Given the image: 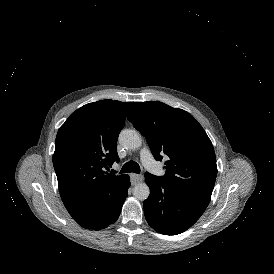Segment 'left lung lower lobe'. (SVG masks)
Instances as JSON below:
<instances>
[{
    "label": "left lung lower lobe",
    "instance_id": "obj_1",
    "mask_svg": "<svg viewBox=\"0 0 274 274\" xmlns=\"http://www.w3.org/2000/svg\"><path fill=\"white\" fill-rule=\"evenodd\" d=\"M150 188L149 197L143 202L148 224L157 232L176 235L190 228L203 214L210 197L185 191L158 177L145 173Z\"/></svg>",
    "mask_w": 274,
    "mask_h": 274
}]
</instances>
